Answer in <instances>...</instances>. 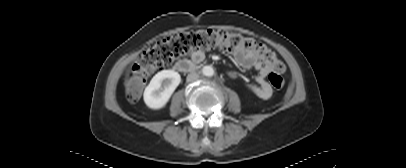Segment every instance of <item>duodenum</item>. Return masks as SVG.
Wrapping results in <instances>:
<instances>
[{
    "label": "duodenum",
    "instance_id": "obj_1",
    "mask_svg": "<svg viewBox=\"0 0 406 168\" xmlns=\"http://www.w3.org/2000/svg\"><path fill=\"white\" fill-rule=\"evenodd\" d=\"M197 67V62H191L188 60H181L175 64V69L182 73H188Z\"/></svg>",
    "mask_w": 406,
    "mask_h": 168
}]
</instances>
